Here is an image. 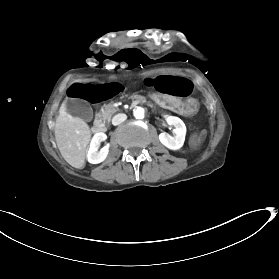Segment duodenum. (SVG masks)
Returning a JSON list of instances; mask_svg holds the SVG:
<instances>
[{"mask_svg": "<svg viewBox=\"0 0 279 279\" xmlns=\"http://www.w3.org/2000/svg\"><path fill=\"white\" fill-rule=\"evenodd\" d=\"M91 129L93 131H96V132H101V133H105L107 131V128L105 126H101L100 124H93L91 126Z\"/></svg>", "mask_w": 279, "mask_h": 279, "instance_id": "410a0bca", "label": "duodenum"}]
</instances>
